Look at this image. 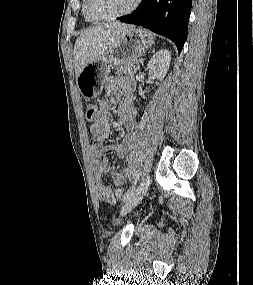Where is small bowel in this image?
<instances>
[{"label": "small bowel", "mask_w": 253, "mask_h": 285, "mask_svg": "<svg viewBox=\"0 0 253 285\" xmlns=\"http://www.w3.org/2000/svg\"><path fill=\"white\" fill-rule=\"evenodd\" d=\"M135 83L132 79L126 77H110L105 84V90L108 93L115 92L119 102L117 114L121 123L124 125L128 134L117 145L103 146V143L110 136V111L111 102L104 99L100 102L99 109L96 108V114L90 126L92 138L90 146L93 149L94 162V179L95 186L99 197L107 204L114 205L118 199L122 198L118 194V189L115 193L111 187L105 185L102 181V174L109 173L112 175L114 184L117 186L123 185L128 178L131 166L126 165L118 170L109 165V159L106 153L115 150L120 158L126 157L132 147V134L137 129L136 109L133 105V91Z\"/></svg>", "instance_id": "small-bowel-1"}]
</instances>
